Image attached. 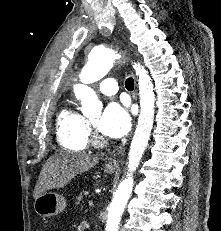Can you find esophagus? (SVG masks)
<instances>
[{
  "label": "esophagus",
  "instance_id": "esophagus-1",
  "mask_svg": "<svg viewBox=\"0 0 221 231\" xmlns=\"http://www.w3.org/2000/svg\"><path fill=\"white\" fill-rule=\"evenodd\" d=\"M135 97H136V93H135ZM117 165H118V162L115 159H112L108 162V166L116 167Z\"/></svg>",
  "mask_w": 221,
  "mask_h": 231
}]
</instances>
